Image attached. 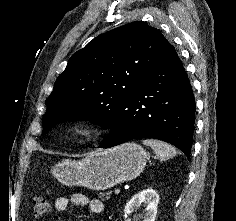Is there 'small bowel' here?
I'll list each match as a JSON object with an SVG mask.
<instances>
[{"label": "small bowel", "instance_id": "small-bowel-1", "mask_svg": "<svg viewBox=\"0 0 236 221\" xmlns=\"http://www.w3.org/2000/svg\"><path fill=\"white\" fill-rule=\"evenodd\" d=\"M72 204L77 207H85L88 206L91 213L93 214H101L104 211V204L100 200H89L85 195L77 193L72 196L69 200L66 197H58L54 201V210L57 212H64L67 210L69 204Z\"/></svg>", "mask_w": 236, "mask_h": 221}]
</instances>
